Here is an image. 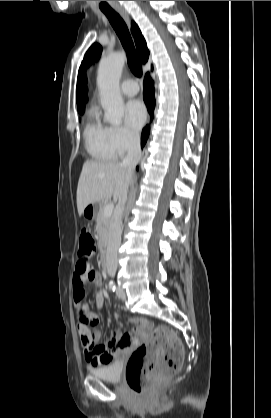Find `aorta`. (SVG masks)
<instances>
[{"mask_svg":"<svg viewBox=\"0 0 271 418\" xmlns=\"http://www.w3.org/2000/svg\"><path fill=\"white\" fill-rule=\"evenodd\" d=\"M124 64L125 54L114 53L101 60L97 74L101 105L105 110L104 120L114 125L121 124L124 115V103L119 88Z\"/></svg>","mask_w":271,"mask_h":418,"instance_id":"obj_1","label":"aorta"}]
</instances>
